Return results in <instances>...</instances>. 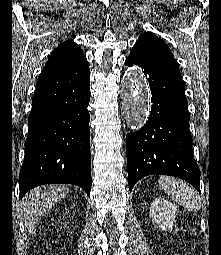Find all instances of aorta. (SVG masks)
Segmentation results:
<instances>
[{
    "mask_svg": "<svg viewBox=\"0 0 221 255\" xmlns=\"http://www.w3.org/2000/svg\"><path fill=\"white\" fill-rule=\"evenodd\" d=\"M124 105L130 125L133 128H140L147 120L150 94L137 70L131 72L125 84Z\"/></svg>",
    "mask_w": 221,
    "mask_h": 255,
    "instance_id": "1",
    "label": "aorta"
}]
</instances>
